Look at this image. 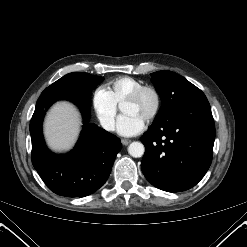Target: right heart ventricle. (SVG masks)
Instances as JSON below:
<instances>
[{"label": "right heart ventricle", "instance_id": "e07e8e85", "mask_svg": "<svg viewBox=\"0 0 247 247\" xmlns=\"http://www.w3.org/2000/svg\"><path fill=\"white\" fill-rule=\"evenodd\" d=\"M144 85V82L130 76H122L114 79L108 84V91L117 104L124 100L137 88Z\"/></svg>", "mask_w": 247, "mask_h": 247}]
</instances>
